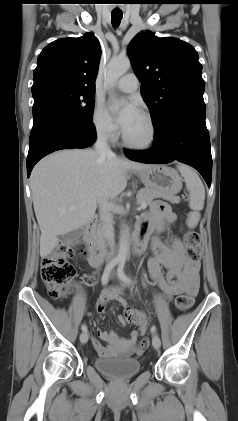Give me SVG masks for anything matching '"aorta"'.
Here are the masks:
<instances>
[{"label": "aorta", "instance_id": "obj_1", "mask_svg": "<svg viewBox=\"0 0 238 421\" xmlns=\"http://www.w3.org/2000/svg\"><path fill=\"white\" fill-rule=\"evenodd\" d=\"M131 67V62L128 58H113L107 65L106 83L112 87L117 80L124 75ZM129 249V233L126 228H122L120 232L119 250L117 261L125 263Z\"/></svg>", "mask_w": 238, "mask_h": 421}]
</instances>
